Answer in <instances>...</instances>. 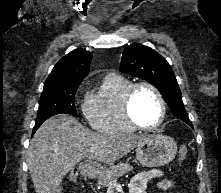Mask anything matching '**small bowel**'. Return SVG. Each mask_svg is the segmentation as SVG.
Wrapping results in <instances>:
<instances>
[{
  "instance_id": "obj_1",
  "label": "small bowel",
  "mask_w": 221,
  "mask_h": 193,
  "mask_svg": "<svg viewBox=\"0 0 221 193\" xmlns=\"http://www.w3.org/2000/svg\"><path fill=\"white\" fill-rule=\"evenodd\" d=\"M159 180V188L161 190H168L171 188L175 181L164 178V172L161 169H151L146 172L137 173L131 181L130 193H146V187L150 180Z\"/></svg>"
}]
</instances>
